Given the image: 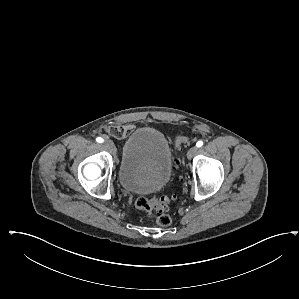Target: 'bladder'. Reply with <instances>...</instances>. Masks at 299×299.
<instances>
[{"mask_svg": "<svg viewBox=\"0 0 299 299\" xmlns=\"http://www.w3.org/2000/svg\"><path fill=\"white\" fill-rule=\"evenodd\" d=\"M173 171V155L159 130L143 127L126 139L118 169L121 187L133 193H152L163 187Z\"/></svg>", "mask_w": 299, "mask_h": 299, "instance_id": "31cf9c89", "label": "bladder"}]
</instances>
